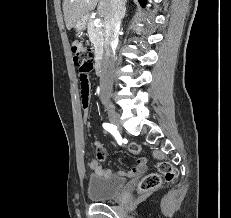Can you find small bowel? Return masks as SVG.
<instances>
[{
    "label": "small bowel",
    "mask_w": 231,
    "mask_h": 218,
    "mask_svg": "<svg viewBox=\"0 0 231 218\" xmlns=\"http://www.w3.org/2000/svg\"><path fill=\"white\" fill-rule=\"evenodd\" d=\"M93 70V61L89 60L88 63H84L83 66H79L76 70V73L79 76L80 81V94L81 100L84 107L87 106L88 98H89V74L92 73ZM95 149H96V159H91L89 161V167L98 175L108 176L110 175L109 170H105L101 166V162L104 161L105 151L104 147L100 141H95ZM146 170V160L142 157L138 158L136 161V165L128 171H118L119 176L125 177H136L142 174Z\"/></svg>",
    "instance_id": "small-bowel-1"
}]
</instances>
